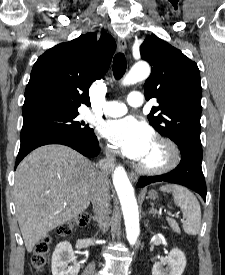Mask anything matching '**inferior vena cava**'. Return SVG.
Segmentation results:
<instances>
[{"label": "inferior vena cava", "instance_id": "602c4592", "mask_svg": "<svg viewBox=\"0 0 225 275\" xmlns=\"http://www.w3.org/2000/svg\"><path fill=\"white\" fill-rule=\"evenodd\" d=\"M114 153L108 151L106 158L101 160L96 167L95 177L91 187V202L95 213V219L100 228L107 229V215L109 212L110 193L108 173L113 167Z\"/></svg>", "mask_w": 225, "mask_h": 275}]
</instances>
